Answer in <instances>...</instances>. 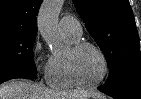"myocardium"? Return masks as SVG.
Masks as SVG:
<instances>
[{
    "label": "myocardium",
    "instance_id": "1",
    "mask_svg": "<svg viewBox=\"0 0 141 99\" xmlns=\"http://www.w3.org/2000/svg\"><path fill=\"white\" fill-rule=\"evenodd\" d=\"M88 47L95 49L100 54L103 61V65H104V71L102 76L97 81L90 82V83L85 82L80 78L78 70H77V63H76L77 56L80 53V51ZM67 62H68L69 72L73 81L77 84V86H80V87H84V88L97 87L106 79L109 73V61H108L106 53L99 45L90 41H79L75 43L71 51L67 55Z\"/></svg>",
    "mask_w": 141,
    "mask_h": 99
}]
</instances>
